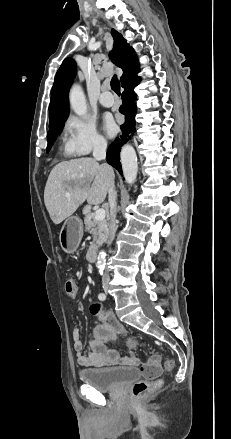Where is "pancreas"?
<instances>
[{
	"instance_id": "cf45deb5",
	"label": "pancreas",
	"mask_w": 231,
	"mask_h": 439,
	"mask_svg": "<svg viewBox=\"0 0 231 439\" xmlns=\"http://www.w3.org/2000/svg\"><path fill=\"white\" fill-rule=\"evenodd\" d=\"M85 230L93 236V242L90 249L98 248L108 236V222L107 220H95V214L86 210L84 216Z\"/></svg>"
}]
</instances>
